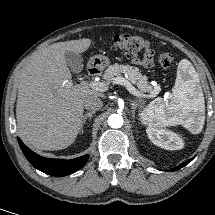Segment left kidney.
I'll list each match as a JSON object with an SVG mask.
<instances>
[{"label":"left kidney","mask_w":215,"mask_h":215,"mask_svg":"<svg viewBox=\"0 0 215 215\" xmlns=\"http://www.w3.org/2000/svg\"><path fill=\"white\" fill-rule=\"evenodd\" d=\"M146 132L153 144L166 150H178L184 146L183 140L171 131L149 127Z\"/></svg>","instance_id":"obj_1"}]
</instances>
